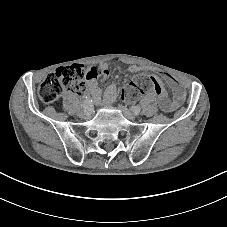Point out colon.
<instances>
[{
	"mask_svg": "<svg viewBox=\"0 0 227 227\" xmlns=\"http://www.w3.org/2000/svg\"><path fill=\"white\" fill-rule=\"evenodd\" d=\"M85 72L79 64L59 67L48 75L38 88V95L43 103L55 102L64 90L82 93L85 88ZM153 91L160 99L168 98L161 83L152 76L139 75L121 90V95L126 100H135L139 95Z\"/></svg>",
	"mask_w": 227,
	"mask_h": 227,
	"instance_id": "colon-1",
	"label": "colon"
}]
</instances>
